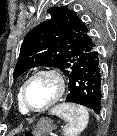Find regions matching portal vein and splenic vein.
Segmentation results:
<instances>
[{"instance_id":"obj_1","label":"portal vein and splenic vein","mask_w":117,"mask_h":136,"mask_svg":"<svg viewBox=\"0 0 117 136\" xmlns=\"http://www.w3.org/2000/svg\"><path fill=\"white\" fill-rule=\"evenodd\" d=\"M50 136H56L54 133H50Z\"/></svg>"}]
</instances>
